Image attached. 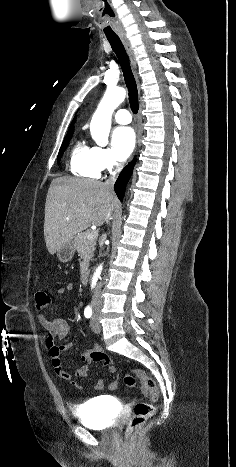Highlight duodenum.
<instances>
[{"label": "duodenum", "instance_id": "duodenum-1", "mask_svg": "<svg viewBox=\"0 0 236 467\" xmlns=\"http://www.w3.org/2000/svg\"><path fill=\"white\" fill-rule=\"evenodd\" d=\"M80 281L82 285H87L89 282V271L84 270L81 274Z\"/></svg>", "mask_w": 236, "mask_h": 467}]
</instances>
